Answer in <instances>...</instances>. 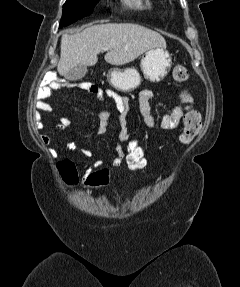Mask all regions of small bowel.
Masks as SVG:
<instances>
[{"label":"small bowel","instance_id":"1","mask_svg":"<svg viewBox=\"0 0 240 287\" xmlns=\"http://www.w3.org/2000/svg\"><path fill=\"white\" fill-rule=\"evenodd\" d=\"M65 86L52 79V77L46 78V84L41 86L36 93V107L39 111L51 113L54 108L48 103V99L53 96L54 90H57ZM99 100H105L110 98L116 107L118 112V119L121 126L120 133L118 136V142L116 147L115 155L112 159L111 166L114 168L120 167L125 164V144L128 140V122L127 116L129 112V99L122 96L111 89L102 90L97 86H93L90 90ZM153 97L151 90L144 89L139 94L138 109L144 120L147 128L154 129L158 124L160 128L164 130H175L179 127L181 121L184 118L186 111L193 105V98L188 91H183L179 95L180 104L172 109L171 112L162 115L157 121L152 114L150 100ZM111 118V113L108 110H102L98 114V130L104 134L108 131V125ZM73 121L69 117H61L57 125L59 131H65L69 129ZM44 141L49 143L50 137L45 136ZM67 149L78 150L81 153L84 162V169L87 175L93 173L95 169L101 168L103 160L101 158H94L93 153L89 149L78 147L74 143H69Z\"/></svg>","mask_w":240,"mask_h":287}]
</instances>
